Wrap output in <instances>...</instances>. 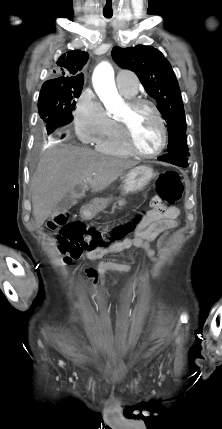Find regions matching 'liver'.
Masks as SVG:
<instances>
[{"label": "liver", "instance_id": "6515ba94", "mask_svg": "<svg viewBox=\"0 0 222 429\" xmlns=\"http://www.w3.org/2000/svg\"><path fill=\"white\" fill-rule=\"evenodd\" d=\"M136 164L70 144L50 146L42 154L30 183L36 226L44 224L66 194L74 199L84 197L85 190L77 191L76 186H83L85 180L90 179L92 190L99 192Z\"/></svg>", "mask_w": 222, "mask_h": 429}]
</instances>
